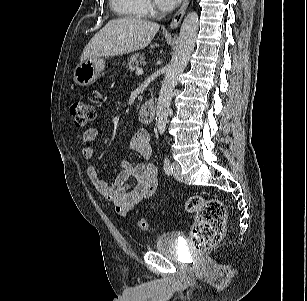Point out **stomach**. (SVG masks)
Instances as JSON below:
<instances>
[{
  "mask_svg": "<svg viewBox=\"0 0 307 301\" xmlns=\"http://www.w3.org/2000/svg\"><path fill=\"white\" fill-rule=\"evenodd\" d=\"M105 68L103 58H93L81 62L74 70V81L80 86H90L98 79Z\"/></svg>",
  "mask_w": 307,
  "mask_h": 301,
  "instance_id": "stomach-1",
  "label": "stomach"
}]
</instances>
